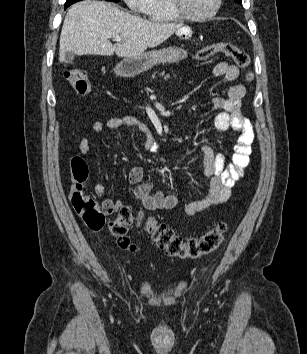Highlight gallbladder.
I'll return each mask as SVG.
<instances>
[{"label":"gallbladder","instance_id":"bac80fb5","mask_svg":"<svg viewBox=\"0 0 307 354\" xmlns=\"http://www.w3.org/2000/svg\"><path fill=\"white\" fill-rule=\"evenodd\" d=\"M74 60V54L71 52H67L64 56H63V62L65 63H72Z\"/></svg>","mask_w":307,"mask_h":354}]
</instances>
